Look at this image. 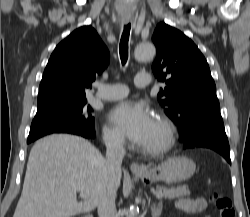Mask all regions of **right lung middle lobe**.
<instances>
[{
    "mask_svg": "<svg viewBox=\"0 0 250 217\" xmlns=\"http://www.w3.org/2000/svg\"><path fill=\"white\" fill-rule=\"evenodd\" d=\"M87 100L64 102L38 109L32 121L27 143L51 133H71L95 137L92 109Z\"/></svg>",
    "mask_w": 250,
    "mask_h": 217,
    "instance_id": "1",
    "label": "right lung middle lobe"
}]
</instances>
